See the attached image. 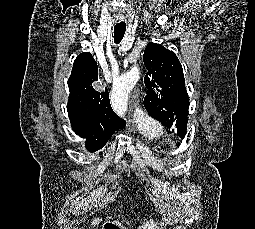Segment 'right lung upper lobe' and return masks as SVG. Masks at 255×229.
Listing matches in <instances>:
<instances>
[{"label":"right lung upper lobe","instance_id":"cb5924a9","mask_svg":"<svg viewBox=\"0 0 255 229\" xmlns=\"http://www.w3.org/2000/svg\"><path fill=\"white\" fill-rule=\"evenodd\" d=\"M98 79V67L90 53H81L73 64L68 80L70 91L67 105L72 129L80 137L90 140H108L124 128L126 122L111 108L109 93L97 91L92 83Z\"/></svg>","mask_w":255,"mask_h":229}]
</instances>
